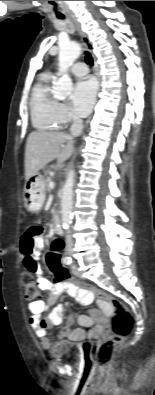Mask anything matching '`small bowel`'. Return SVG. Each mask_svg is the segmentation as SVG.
<instances>
[{
	"label": "small bowel",
	"instance_id": "c3829d8e",
	"mask_svg": "<svg viewBox=\"0 0 155 395\" xmlns=\"http://www.w3.org/2000/svg\"><path fill=\"white\" fill-rule=\"evenodd\" d=\"M41 231L38 228H32L27 231L20 240V251L23 256V262L26 269L30 270L33 275L37 278L41 289L49 292L47 301L35 300L29 303V311L31 316L29 318V324L34 330L36 336L40 339L41 346L45 349L51 348L57 340L70 339L72 341H82L88 336H95L102 332V324L94 326L93 330L86 332L84 328L72 329V325L75 321L73 317L69 320V325L63 327L56 339L47 338V331L53 326L61 324L63 320V307L61 305H55L58 298L67 292L74 298H76L81 304L87 305L92 302V292H88L87 288H81L80 285L72 283H63L62 288L57 283L50 282L43 276L42 269L38 263V258L43 249V241L41 239ZM27 259L31 260V264H27ZM96 303L101 301L99 296L94 298ZM54 306L49 312L47 318H43L42 315L49 307ZM98 311H102L103 315H112L113 304H108L106 300H102L98 304ZM98 319L102 322V315L95 313ZM76 321L82 327H92L95 323L94 318L90 316H79Z\"/></svg>",
	"mask_w": 155,
	"mask_h": 395
}]
</instances>
